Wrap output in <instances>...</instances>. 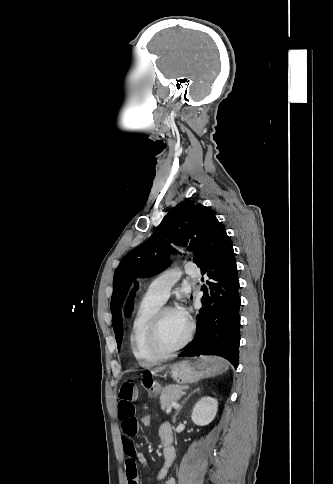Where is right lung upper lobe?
Listing matches in <instances>:
<instances>
[{
  "label": "right lung upper lobe",
  "instance_id": "obj_1",
  "mask_svg": "<svg viewBox=\"0 0 333 484\" xmlns=\"http://www.w3.org/2000/svg\"><path fill=\"white\" fill-rule=\"evenodd\" d=\"M137 288V286H136ZM133 295L135 294L134 292L132 293ZM133 295L129 298L127 302V306L125 309V315L128 317L130 315V310H132V304H133Z\"/></svg>",
  "mask_w": 333,
  "mask_h": 484
}]
</instances>
